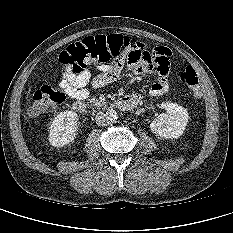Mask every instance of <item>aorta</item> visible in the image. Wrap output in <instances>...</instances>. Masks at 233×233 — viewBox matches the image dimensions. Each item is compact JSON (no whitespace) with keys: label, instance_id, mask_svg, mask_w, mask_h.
Instances as JSON below:
<instances>
[{"label":"aorta","instance_id":"obj_1","mask_svg":"<svg viewBox=\"0 0 233 233\" xmlns=\"http://www.w3.org/2000/svg\"><path fill=\"white\" fill-rule=\"evenodd\" d=\"M106 116H107L109 122L111 123V122H114L118 119L119 113L115 109H109L106 112Z\"/></svg>","mask_w":233,"mask_h":233}]
</instances>
